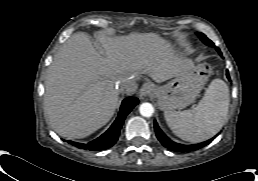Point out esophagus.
Wrapping results in <instances>:
<instances>
[{"label":"esophagus","mask_w":258,"mask_h":181,"mask_svg":"<svg viewBox=\"0 0 258 181\" xmlns=\"http://www.w3.org/2000/svg\"><path fill=\"white\" fill-rule=\"evenodd\" d=\"M153 90H154V86L151 83L147 82V83L143 84L139 91L140 98L144 99V98L148 97Z\"/></svg>","instance_id":"obj_1"}]
</instances>
